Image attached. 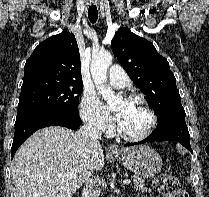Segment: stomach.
I'll list each match as a JSON object with an SVG mask.
<instances>
[{
    "instance_id": "obj_1",
    "label": "stomach",
    "mask_w": 209,
    "mask_h": 197,
    "mask_svg": "<svg viewBox=\"0 0 209 197\" xmlns=\"http://www.w3.org/2000/svg\"><path fill=\"white\" fill-rule=\"evenodd\" d=\"M114 156L124 167L143 178L155 176L162 168L161 157L147 145L133 146Z\"/></svg>"
}]
</instances>
